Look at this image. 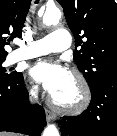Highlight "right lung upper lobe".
Masks as SVG:
<instances>
[{"label":"right lung upper lobe","instance_id":"cb5924a9","mask_svg":"<svg viewBox=\"0 0 117 136\" xmlns=\"http://www.w3.org/2000/svg\"><path fill=\"white\" fill-rule=\"evenodd\" d=\"M31 0H0V58H6L4 49L14 37H21Z\"/></svg>","mask_w":117,"mask_h":136}]
</instances>
